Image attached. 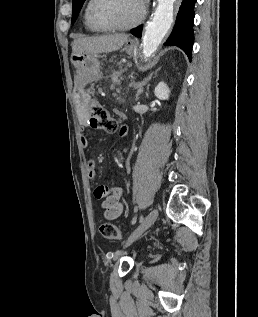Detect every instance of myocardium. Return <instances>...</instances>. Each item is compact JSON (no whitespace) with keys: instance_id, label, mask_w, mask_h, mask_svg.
<instances>
[{"instance_id":"myocardium-1","label":"myocardium","mask_w":258,"mask_h":317,"mask_svg":"<svg viewBox=\"0 0 258 317\" xmlns=\"http://www.w3.org/2000/svg\"><path fill=\"white\" fill-rule=\"evenodd\" d=\"M102 1H104V0H92V2L90 3V6H89V10H88V18H89L91 24L99 30H102V31H132L135 28H137L140 25V23L142 22V20L144 19L145 7H144L143 3L141 2V0H132L133 2L136 3V5L138 6V9H139L138 17H137L136 21L134 22V24H132L131 26H128V27L103 25L100 22H98L93 15V11H94L95 6Z\"/></svg>"}]
</instances>
